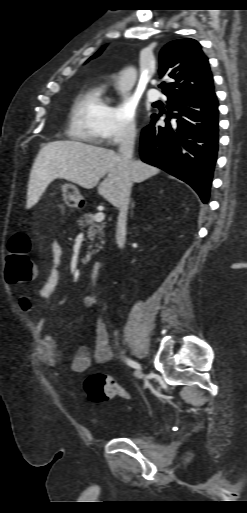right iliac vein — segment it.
I'll return each instance as SVG.
<instances>
[{
    "label": "right iliac vein",
    "mask_w": 247,
    "mask_h": 513,
    "mask_svg": "<svg viewBox=\"0 0 247 513\" xmlns=\"http://www.w3.org/2000/svg\"><path fill=\"white\" fill-rule=\"evenodd\" d=\"M137 376H138V378H141L142 372L140 370L137 371Z\"/></svg>",
    "instance_id": "63e3f726"
}]
</instances>
